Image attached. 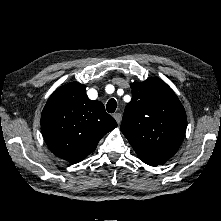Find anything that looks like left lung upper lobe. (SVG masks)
I'll return each instance as SVG.
<instances>
[{"mask_svg": "<svg viewBox=\"0 0 221 221\" xmlns=\"http://www.w3.org/2000/svg\"><path fill=\"white\" fill-rule=\"evenodd\" d=\"M121 131L140 160L160 165L179 149L186 131V113L171 88L159 78L133 82Z\"/></svg>", "mask_w": 221, "mask_h": 221, "instance_id": "5c2ea615", "label": "left lung upper lobe"}]
</instances>
